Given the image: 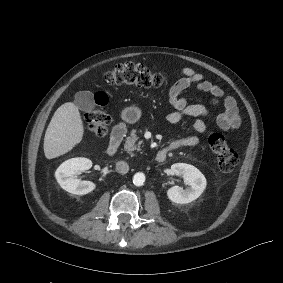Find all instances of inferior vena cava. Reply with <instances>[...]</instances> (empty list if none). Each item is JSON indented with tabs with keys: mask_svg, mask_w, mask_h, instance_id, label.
<instances>
[{
	"mask_svg": "<svg viewBox=\"0 0 283 283\" xmlns=\"http://www.w3.org/2000/svg\"><path fill=\"white\" fill-rule=\"evenodd\" d=\"M116 169L121 174H126L129 171V166L124 161H119L116 163Z\"/></svg>",
	"mask_w": 283,
	"mask_h": 283,
	"instance_id": "obj_1",
	"label": "inferior vena cava"
}]
</instances>
